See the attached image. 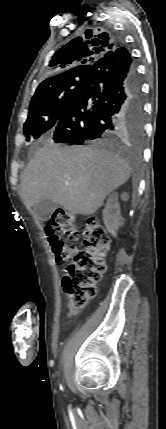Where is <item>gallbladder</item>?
I'll return each mask as SVG.
<instances>
[{
	"mask_svg": "<svg viewBox=\"0 0 166 429\" xmlns=\"http://www.w3.org/2000/svg\"><path fill=\"white\" fill-rule=\"evenodd\" d=\"M57 207L58 204L51 199H41L34 205V210L39 220L47 221Z\"/></svg>",
	"mask_w": 166,
	"mask_h": 429,
	"instance_id": "gallbladder-1",
	"label": "gallbladder"
}]
</instances>
